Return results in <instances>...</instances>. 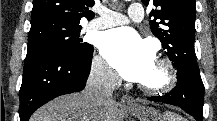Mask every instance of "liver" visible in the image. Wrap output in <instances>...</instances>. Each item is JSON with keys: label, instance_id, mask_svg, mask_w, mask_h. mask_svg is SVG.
Listing matches in <instances>:
<instances>
[{"label": "liver", "instance_id": "obj_1", "mask_svg": "<svg viewBox=\"0 0 217 121\" xmlns=\"http://www.w3.org/2000/svg\"><path fill=\"white\" fill-rule=\"evenodd\" d=\"M116 102L104 116L96 115L87 105L83 93L60 96L40 107L30 121H122Z\"/></svg>", "mask_w": 217, "mask_h": 121}]
</instances>
